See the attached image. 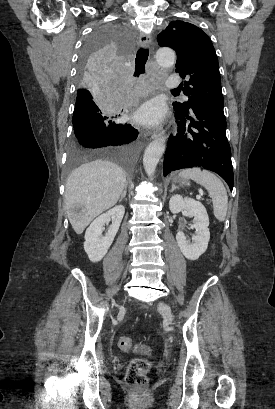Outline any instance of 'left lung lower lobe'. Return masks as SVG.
<instances>
[{
	"instance_id": "left-lung-lower-lobe-1",
	"label": "left lung lower lobe",
	"mask_w": 275,
	"mask_h": 409,
	"mask_svg": "<svg viewBox=\"0 0 275 409\" xmlns=\"http://www.w3.org/2000/svg\"><path fill=\"white\" fill-rule=\"evenodd\" d=\"M178 134L170 136L164 157V176L174 170L202 167L219 174L233 188L231 150L223 110L195 107L178 114Z\"/></svg>"
}]
</instances>
